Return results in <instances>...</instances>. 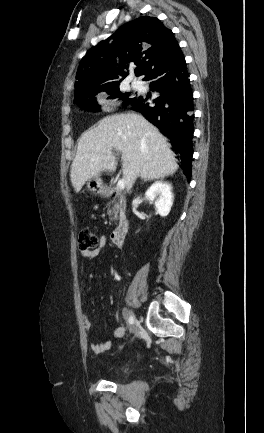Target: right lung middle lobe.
Listing matches in <instances>:
<instances>
[{
	"label": "right lung middle lobe",
	"instance_id": "1",
	"mask_svg": "<svg viewBox=\"0 0 264 433\" xmlns=\"http://www.w3.org/2000/svg\"><path fill=\"white\" fill-rule=\"evenodd\" d=\"M108 95L107 99H120L123 100V103L125 106H127L133 98L136 96L134 93H122L119 89V86L111 88L109 90L105 91ZM98 93L91 94L87 96L84 99H81L79 101H75L74 103L79 105L81 108L90 110V111H100V106L98 105L95 96Z\"/></svg>",
	"mask_w": 264,
	"mask_h": 433
}]
</instances>
